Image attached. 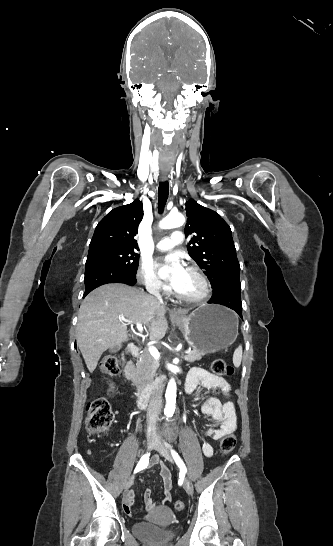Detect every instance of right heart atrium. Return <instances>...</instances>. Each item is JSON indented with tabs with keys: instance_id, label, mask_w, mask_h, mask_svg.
Here are the masks:
<instances>
[{
	"instance_id": "obj_1",
	"label": "right heart atrium",
	"mask_w": 333,
	"mask_h": 546,
	"mask_svg": "<svg viewBox=\"0 0 333 546\" xmlns=\"http://www.w3.org/2000/svg\"><path fill=\"white\" fill-rule=\"evenodd\" d=\"M138 280L149 291L160 292L166 289L149 263L141 265L138 271Z\"/></svg>"
}]
</instances>
